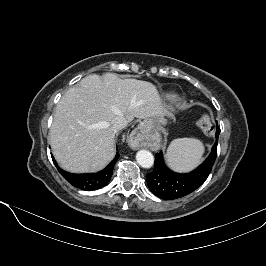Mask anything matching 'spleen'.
Here are the masks:
<instances>
[{"label": "spleen", "mask_w": 266, "mask_h": 266, "mask_svg": "<svg viewBox=\"0 0 266 266\" xmlns=\"http://www.w3.org/2000/svg\"><path fill=\"white\" fill-rule=\"evenodd\" d=\"M204 151V145L198 139H174L168 147L166 159L174 170L186 172L201 162Z\"/></svg>", "instance_id": "obj_1"}]
</instances>
